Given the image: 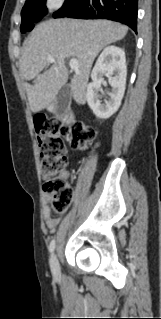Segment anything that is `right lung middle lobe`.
Returning <instances> with one entry per match:
<instances>
[{"label":"right lung middle lobe","instance_id":"dd1d6c3e","mask_svg":"<svg viewBox=\"0 0 161 319\" xmlns=\"http://www.w3.org/2000/svg\"><path fill=\"white\" fill-rule=\"evenodd\" d=\"M81 0H65L63 6L53 14L54 18L63 17ZM46 0H26L21 12L22 23L20 30L22 33L31 31L36 22L47 14Z\"/></svg>","mask_w":161,"mask_h":319}]
</instances>
